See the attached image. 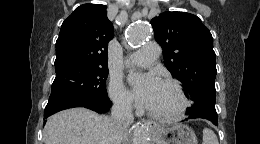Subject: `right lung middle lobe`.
Masks as SVG:
<instances>
[{"label":"right lung middle lobe","mask_w":260,"mask_h":144,"mask_svg":"<svg viewBox=\"0 0 260 144\" xmlns=\"http://www.w3.org/2000/svg\"><path fill=\"white\" fill-rule=\"evenodd\" d=\"M55 71L56 78L46 108L108 99V66L65 65L55 68Z\"/></svg>","instance_id":"right-lung-middle-lobe-1"}]
</instances>
